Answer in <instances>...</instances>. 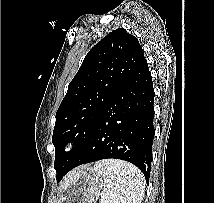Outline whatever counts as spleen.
<instances>
[{
	"instance_id": "3e777b00",
	"label": "spleen",
	"mask_w": 214,
	"mask_h": 203,
	"mask_svg": "<svg viewBox=\"0 0 214 203\" xmlns=\"http://www.w3.org/2000/svg\"><path fill=\"white\" fill-rule=\"evenodd\" d=\"M94 170L104 178L101 203H141L146 182L138 168L110 159L97 162Z\"/></svg>"
}]
</instances>
